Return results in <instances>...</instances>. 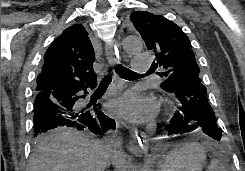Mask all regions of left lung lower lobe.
Segmentation results:
<instances>
[{
  "mask_svg": "<svg viewBox=\"0 0 245 171\" xmlns=\"http://www.w3.org/2000/svg\"><path fill=\"white\" fill-rule=\"evenodd\" d=\"M169 92L175 94L181 107L166 126L168 135L175 136L201 127L203 133L220 141L221 130L208 102L206 87L201 82L183 81Z\"/></svg>",
  "mask_w": 245,
  "mask_h": 171,
  "instance_id": "obj_1",
  "label": "left lung lower lobe"
}]
</instances>
